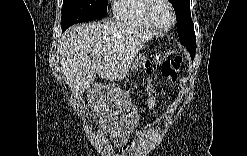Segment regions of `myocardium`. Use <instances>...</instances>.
Listing matches in <instances>:
<instances>
[{
  "instance_id": "obj_1",
  "label": "myocardium",
  "mask_w": 247,
  "mask_h": 156,
  "mask_svg": "<svg viewBox=\"0 0 247 156\" xmlns=\"http://www.w3.org/2000/svg\"><path fill=\"white\" fill-rule=\"evenodd\" d=\"M159 2L165 3L170 10L172 20H171V23L167 26L159 25L153 18V14H152L153 10H154L156 4ZM146 16H147L149 22L151 23V25L154 28L159 29V30H168V29L172 28L176 22L175 11H174L171 3L167 0H150V1H148L147 5H146Z\"/></svg>"
}]
</instances>
